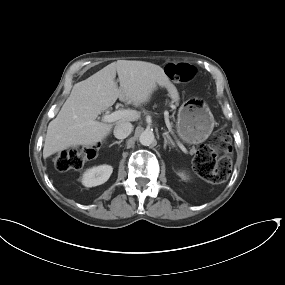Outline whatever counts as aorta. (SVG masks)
Wrapping results in <instances>:
<instances>
[{"label":"aorta","mask_w":285,"mask_h":285,"mask_svg":"<svg viewBox=\"0 0 285 285\" xmlns=\"http://www.w3.org/2000/svg\"><path fill=\"white\" fill-rule=\"evenodd\" d=\"M139 142L144 146H150L155 142V136L152 131L145 130L139 136Z\"/></svg>","instance_id":"aorta-1"}]
</instances>
